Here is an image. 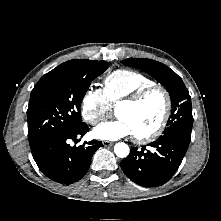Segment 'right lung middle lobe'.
<instances>
[{"label": "right lung middle lobe", "mask_w": 221, "mask_h": 221, "mask_svg": "<svg viewBox=\"0 0 221 221\" xmlns=\"http://www.w3.org/2000/svg\"><path fill=\"white\" fill-rule=\"evenodd\" d=\"M62 65L45 74L31 92L27 110L31 149L84 123L81 102L91 82L109 66L106 61L78 59Z\"/></svg>", "instance_id": "1"}]
</instances>
